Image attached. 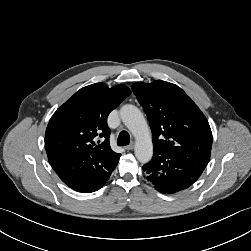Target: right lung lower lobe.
<instances>
[{"instance_id": "obj_1", "label": "right lung lower lobe", "mask_w": 251, "mask_h": 251, "mask_svg": "<svg viewBox=\"0 0 251 251\" xmlns=\"http://www.w3.org/2000/svg\"><path fill=\"white\" fill-rule=\"evenodd\" d=\"M61 180L78 192L89 193L100 189L113 169L106 170L95 158L79 157L72 150H62L48 156Z\"/></svg>"}]
</instances>
